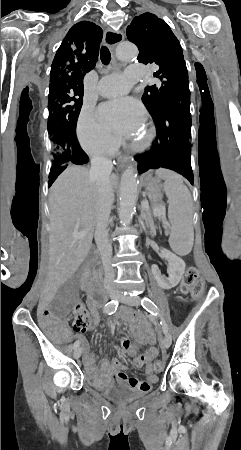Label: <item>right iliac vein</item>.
<instances>
[{
    "mask_svg": "<svg viewBox=\"0 0 241 450\" xmlns=\"http://www.w3.org/2000/svg\"><path fill=\"white\" fill-rule=\"evenodd\" d=\"M116 296H117V292H116V291H112V292H110V294H109V297H110L111 299H115ZM81 354H82V348L80 347V348L75 349V351H74V353H73V357H74L75 359H78V358L81 356Z\"/></svg>",
    "mask_w": 241,
    "mask_h": 450,
    "instance_id": "1",
    "label": "right iliac vein"
}]
</instances>
